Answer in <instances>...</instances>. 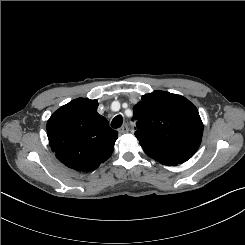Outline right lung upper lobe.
<instances>
[{"label":"right lung upper lobe","mask_w":245,"mask_h":245,"mask_svg":"<svg viewBox=\"0 0 245 245\" xmlns=\"http://www.w3.org/2000/svg\"><path fill=\"white\" fill-rule=\"evenodd\" d=\"M97 107V100L78 98L60 107L47 122L50 147L69 168L90 172L113 152L118 132Z\"/></svg>","instance_id":"obj_1"}]
</instances>
